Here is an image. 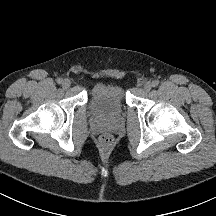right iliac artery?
<instances>
[{"label":"right iliac artery","instance_id":"1","mask_svg":"<svg viewBox=\"0 0 216 216\" xmlns=\"http://www.w3.org/2000/svg\"><path fill=\"white\" fill-rule=\"evenodd\" d=\"M56 82H57L58 84H61V83L63 82V80H62L61 78H58V79L56 80Z\"/></svg>","mask_w":216,"mask_h":216}]
</instances>
